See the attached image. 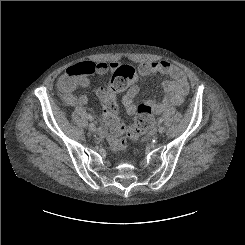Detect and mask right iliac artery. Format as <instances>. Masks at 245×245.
<instances>
[{
  "instance_id": "1",
  "label": "right iliac artery",
  "mask_w": 245,
  "mask_h": 245,
  "mask_svg": "<svg viewBox=\"0 0 245 245\" xmlns=\"http://www.w3.org/2000/svg\"><path fill=\"white\" fill-rule=\"evenodd\" d=\"M88 119H89L90 121H92V120H93V117H92V115H91V114H89V115H88Z\"/></svg>"
}]
</instances>
